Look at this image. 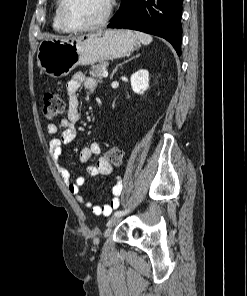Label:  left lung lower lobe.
Segmentation results:
<instances>
[{
  "mask_svg": "<svg viewBox=\"0 0 247 296\" xmlns=\"http://www.w3.org/2000/svg\"><path fill=\"white\" fill-rule=\"evenodd\" d=\"M108 28H128L162 37L181 55L183 0H121Z\"/></svg>",
  "mask_w": 247,
  "mask_h": 296,
  "instance_id": "obj_1",
  "label": "left lung lower lobe"
}]
</instances>
